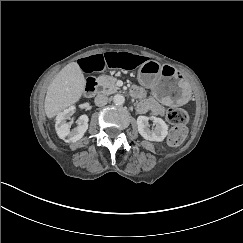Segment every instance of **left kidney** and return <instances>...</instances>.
I'll use <instances>...</instances> for the list:
<instances>
[{
    "label": "left kidney",
    "instance_id": "left-kidney-1",
    "mask_svg": "<svg viewBox=\"0 0 243 243\" xmlns=\"http://www.w3.org/2000/svg\"><path fill=\"white\" fill-rule=\"evenodd\" d=\"M149 119L156 123V127L153 130H150L148 127ZM137 129L144 139L153 142H162L168 135L169 126L161 118L154 115H139L137 117Z\"/></svg>",
    "mask_w": 243,
    "mask_h": 243
}]
</instances>
